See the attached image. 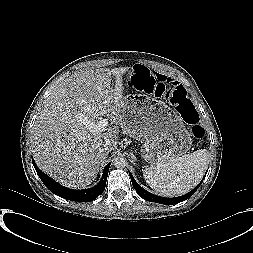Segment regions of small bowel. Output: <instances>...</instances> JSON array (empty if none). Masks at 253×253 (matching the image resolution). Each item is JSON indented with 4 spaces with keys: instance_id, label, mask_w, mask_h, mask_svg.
<instances>
[{
    "instance_id": "obj_1",
    "label": "small bowel",
    "mask_w": 253,
    "mask_h": 253,
    "mask_svg": "<svg viewBox=\"0 0 253 253\" xmlns=\"http://www.w3.org/2000/svg\"><path fill=\"white\" fill-rule=\"evenodd\" d=\"M167 82L169 81L166 76L152 72H150L148 79H134L131 81L133 88L149 93H157V86Z\"/></svg>"
}]
</instances>
